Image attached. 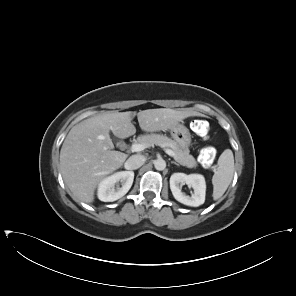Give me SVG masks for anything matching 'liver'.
Here are the masks:
<instances>
[{
    "mask_svg": "<svg viewBox=\"0 0 296 296\" xmlns=\"http://www.w3.org/2000/svg\"><path fill=\"white\" fill-rule=\"evenodd\" d=\"M135 112H106L76 124L67 134L60 151V170L75 200L94 201L95 189L110 173L123 166L127 154L113 150L110 131L118 138L136 133L131 123ZM201 114L191 110L169 108L147 109L137 113L143 131H166L190 116Z\"/></svg>",
    "mask_w": 296,
    "mask_h": 296,
    "instance_id": "liver-1",
    "label": "liver"
}]
</instances>
